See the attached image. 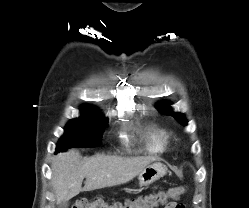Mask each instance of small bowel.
Returning a JSON list of instances; mask_svg holds the SVG:
<instances>
[{
  "label": "small bowel",
  "mask_w": 249,
  "mask_h": 208,
  "mask_svg": "<svg viewBox=\"0 0 249 208\" xmlns=\"http://www.w3.org/2000/svg\"><path fill=\"white\" fill-rule=\"evenodd\" d=\"M180 204L177 202H169L168 204L165 205L164 208H179Z\"/></svg>",
  "instance_id": "1"
}]
</instances>
